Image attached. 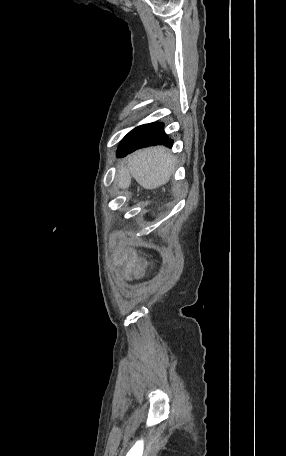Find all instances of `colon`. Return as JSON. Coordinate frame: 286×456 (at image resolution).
<instances>
[{
    "instance_id": "5ec220e1",
    "label": "colon",
    "mask_w": 286,
    "mask_h": 456,
    "mask_svg": "<svg viewBox=\"0 0 286 456\" xmlns=\"http://www.w3.org/2000/svg\"><path fill=\"white\" fill-rule=\"evenodd\" d=\"M144 263L142 261H138L137 262V265H136V274H139V272L141 271L142 267H143Z\"/></svg>"
}]
</instances>
